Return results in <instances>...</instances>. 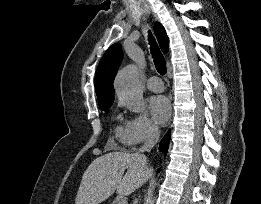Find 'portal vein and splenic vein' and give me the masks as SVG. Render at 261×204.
Masks as SVG:
<instances>
[{"label": "portal vein and splenic vein", "instance_id": "18ae733b", "mask_svg": "<svg viewBox=\"0 0 261 204\" xmlns=\"http://www.w3.org/2000/svg\"><path fill=\"white\" fill-rule=\"evenodd\" d=\"M118 204H127V201L126 200H120V201H118Z\"/></svg>", "mask_w": 261, "mask_h": 204}]
</instances>
